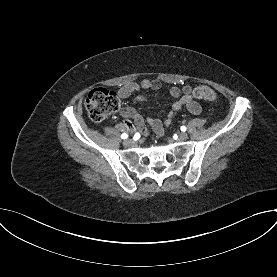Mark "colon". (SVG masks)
<instances>
[{"instance_id":"colon-1","label":"colon","mask_w":277,"mask_h":277,"mask_svg":"<svg viewBox=\"0 0 277 277\" xmlns=\"http://www.w3.org/2000/svg\"><path fill=\"white\" fill-rule=\"evenodd\" d=\"M194 96L198 99L215 100L216 93L207 86H198L194 89ZM120 101L117 94L106 88L91 90L85 100V107L89 117L100 122L119 109Z\"/></svg>"}]
</instances>
